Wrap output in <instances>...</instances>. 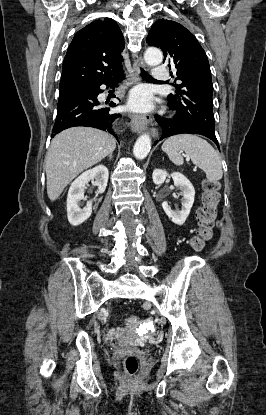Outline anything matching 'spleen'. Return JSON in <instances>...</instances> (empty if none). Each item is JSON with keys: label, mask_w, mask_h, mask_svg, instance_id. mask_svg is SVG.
Instances as JSON below:
<instances>
[{"label": "spleen", "mask_w": 266, "mask_h": 415, "mask_svg": "<svg viewBox=\"0 0 266 415\" xmlns=\"http://www.w3.org/2000/svg\"><path fill=\"white\" fill-rule=\"evenodd\" d=\"M162 150L175 165L184 163V151L192 162L206 173L209 182L222 178L221 160L217 151L204 139L191 134H181L168 138L162 145Z\"/></svg>", "instance_id": "spleen-1"}]
</instances>
